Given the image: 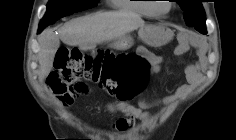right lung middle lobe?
Returning <instances> with one entry per match:
<instances>
[{
	"instance_id": "1",
	"label": "right lung middle lobe",
	"mask_w": 236,
	"mask_h": 140,
	"mask_svg": "<svg viewBox=\"0 0 236 140\" xmlns=\"http://www.w3.org/2000/svg\"><path fill=\"white\" fill-rule=\"evenodd\" d=\"M97 2L98 0H50L39 28L44 29L64 16L92 8Z\"/></svg>"
}]
</instances>
